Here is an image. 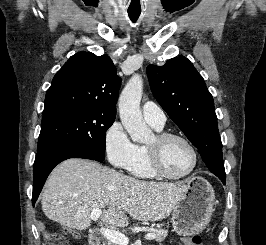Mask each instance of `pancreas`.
Returning <instances> with one entry per match:
<instances>
[{
	"mask_svg": "<svg viewBox=\"0 0 266 245\" xmlns=\"http://www.w3.org/2000/svg\"><path fill=\"white\" fill-rule=\"evenodd\" d=\"M146 233H154V235H156V239H154L156 243H162V241H165L168 235V231H164V229H148Z\"/></svg>",
	"mask_w": 266,
	"mask_h": 245,
	"instance_id": "pancreas-1",
	"label": "pancreas"
}]
</instances>
